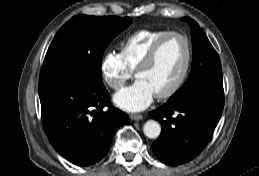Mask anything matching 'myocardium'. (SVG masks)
Listing matches in <instances>:
<instances>
[{
    "label": "myocardium",
    "instance_id": "obj_1",
    "mask_svg": "<svg viewBox=\"0 0 259 176\" xmlns=\"http://www.w3.org/2000/svg\"><path fill=\"white\" fill-rule=\"evenodd\" d=\"M172 36H177V37L183 39L185 42V45H186L185 64L183 66L181 73L175 80V82L164 92H161V93L155 95L156 98H158V99H168V98L172 97L180 90V88L184 84V82L188 76V73L190 71V67H191L192 59H193V49H192V42H191L190 38L187 35L177 32V31H168L166 34L161 36L152 45V47L149 49V51L147 52L145 57L142 59V61L139 63V65L135 69V76H137V74L140 71L148 68L155 61L157 54H158L161 46L163 45V43Z\"/></svg>",
    "mask_w": 259,
    "mask_h": 176
}]
</instances>
